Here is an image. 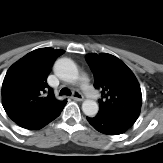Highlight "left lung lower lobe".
Returning a JSON list of instances; mask_svg holds the SVG:
<instances>
[{
	"instance_id": "1",
	"label": "left lung lower lobe",
	"mask_w": 163,
	"mask_h": 163,
	"mask_svg": "<svg viewBox=\"0 0 163 163\" xmlns=\"http://www.w3.org/2000/svg\"><path fill=\"white\" fill-rule=\"evenodd\" d=\"M86 118L96 130L109 135H118L123 133L136 121L134 118L101 114H97L93 118Z\"/></svg>"
}]
</instances>
